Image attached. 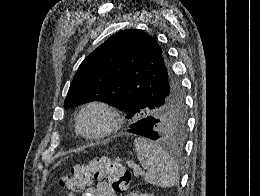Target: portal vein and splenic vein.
<instances>
[{"label":"portal vein and splenic vein","mask_w":260,"mask_h":196,"mask_svg":"<svg viewBox=\"0 0 260 196\" xmlns=\"http://www.w3.org/2000/svg\"><path fill=\"white\" fill-rule=\"evenodd\" d=\"M126 164H128L129 168H133L135 176H139V174H144L141 168H139V166H135L133 162H126Z\"/></svg>","instance_id":"portal-vein-and-splenic-vein-1"}]
</instances>
